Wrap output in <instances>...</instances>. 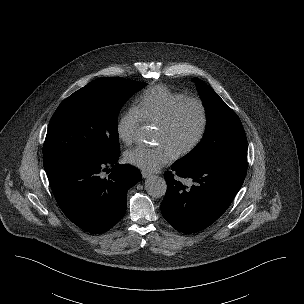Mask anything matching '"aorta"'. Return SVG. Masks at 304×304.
I'll list each match as a JSON object with an SVG mask.
<instances>
[{
    "mask_svg": "<svg viewBox=\"0 0 304 304\" xmlns=\"http://www.w3.org/2000/svg\"><path fill=\"white\" fill-rule=\"evenodd\" d=\"M145 190L150 196L154 198H160L166 193V181L162 177L156 175L151 176L145 181Z\"/></svg>",
    "mask_w": 304,
    "mask_h": 304,
    "instance_id": "aorta-1",
    "label": "aorta"
}]
</instances>
